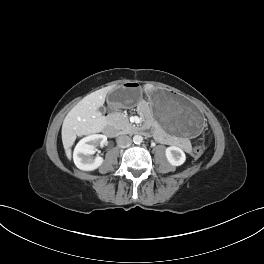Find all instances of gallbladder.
Instances as JSON below:
<instances>
[{
  "label": "gallbladder",
  "instance_id": "gallbladder-1",
  "mask_svg": "<svg viewBox=\"0 0 264 264\" xmlns=\"http://www.w3.org/2000/svg\"><path fill=\"white\" fill-rule=\"evenodd\" d=\"M105 110H106V109H105V107H104V106H102V107H99V108H98V111H99V112H101V113H104V112H105Z\"/></svg>",
  "mask_w": 264,
  "mask_h": 264
}]
</instances>
